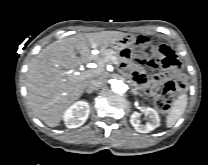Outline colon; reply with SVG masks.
Listing matches in <instances>:
<instances>
[{"mask_svg":"<svg viewBox=\"0 0 208 165\" xmlns=\"http://www.w3.org/2000/svg\"><path fill=\"white\" fill-rule=\"evenodd\" d=\"M133 55L137 61L152 67L162 66L172 72L178 71L181 67L180 61L170 47L167 45L154 46L144 36L137 38ZM183 88L182 81L168 80L158 83L155 107L163 113L169 111L175 101L176 92Z\"/></svg>","mask_w":208,"mask_h":165,"instance_id":"colon-1","label":"colon"}]
</instances>
